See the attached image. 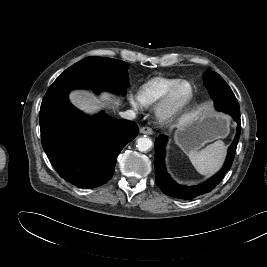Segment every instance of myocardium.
I'll return each mask as SVG.
<instances>
[{"instance_id":"f54148a6","label":"myocardium","mask_w":267,"mask_h":267,"mask_svg":"<svg viewBox=\"0 0 267 267\" xmlns=\"http://www.w3.org/2000/svg\"><path fill=\"white\" fill-rule=\"evenodd\" d=\"M187 86L189 89L187 97L179 104H174V97L178 89ZM194 95V89L190 82L181 80L172 86L168 92L157 102L155 114L157 118L166 124L175 123L183 114L185 109L191 103Z\"/></svg>"}]
</instances>
